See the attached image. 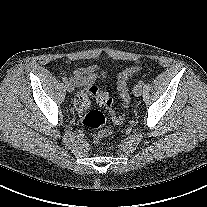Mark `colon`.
Returning <instances> with one entry per match:
<instances>
[{
    "instance_id": "5ec220e1",
    "label": "colon",
    "mask_w": 207,
    "mask_h": 207,
    "mask_svg": "<svg viewBox=\"0 0 207 207\" xmlns=\"http://www.w3.org/2000/svg\"><path fill=\"white\" fill-rule=\"evenodd\" d=\"M142 66L126 67L119 75L117 88L122 99L124 108H128L130 94L128 89V79L142 70ZM90 97L94 98L97 105L106 109L115 124H121L125 120V113H116L113 108V99L106 93L99 90L95 85H91L78 93L74 99L75 109L82 115V124L85 127L96 130L92 136L94 143L112 134V130L107 126L105 116L97 110H89Z\"/></svg>"
}]
</instances>
